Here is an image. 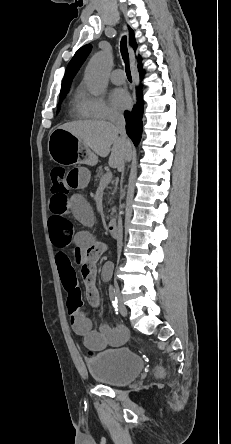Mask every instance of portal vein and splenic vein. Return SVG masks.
<instances>
[{
    "mask_svg": "<svg viewBox=\"0 0 231 444\" xmlns=\"http://www.w3.org/2000/svg\"><path fill=\"white\" fill-rule=\"evenodd\" d=\"M111 179H112V172L108 171L102 176L99 185L101 187H106L111 182Z\"/></svg>",
    "mask_w": 231,
    "mask_h": 444,
    "instance_id": "1",
    "label": "portal vein and splenic vein"
}]
</instances>
